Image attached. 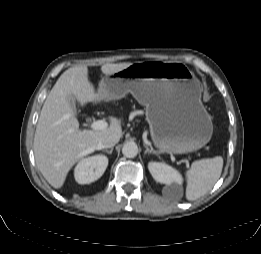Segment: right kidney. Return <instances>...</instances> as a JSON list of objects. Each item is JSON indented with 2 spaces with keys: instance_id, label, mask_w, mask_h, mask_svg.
<instances>
[{
  "instance_id": "right-kidney-1",
  "label": "right kidney",
  "mask_w": 261,
  "mask_h": 254,
  "mask_svg": "<svg viewBox=\"0 0 261 254\" xmlns=\"http://www.w3.org/2000/svg\"><path fill=\"white\" fill-rule=\"evenodd\" d=\"M108 166V158L104 155H95L83 158L74 170L75 180L79 184H89L98 180Z\"/></svg>"
}]
</instances>
